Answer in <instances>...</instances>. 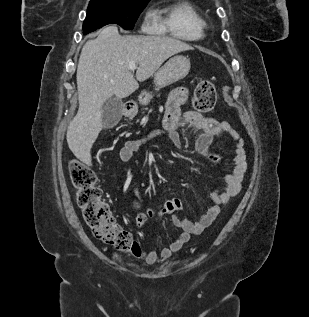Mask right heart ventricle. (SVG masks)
Segmentation results:
<instances>
[{"label":"right heart ventricle","instance_id":"e07e8e85","mask_svg":"<svg viewBox=\"0 0 309 317\" xmlns=\"http://www.w3.org/2000/svg\"><path fill=\"white\" fill-rule=\"evenodd\" d=\"M158 21L173 36L190 41L202 38L206 26L198 11L188 3L172 5Z\"/></svg>","mask_w":309,"mask_h":317}]
</instances>
